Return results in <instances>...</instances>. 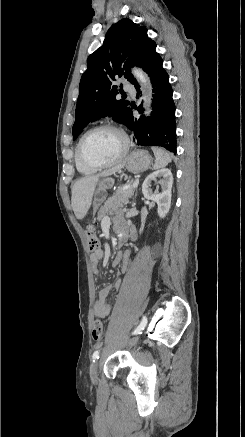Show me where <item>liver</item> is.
I'll use <instances>...</instances> for the list:
<instances>
[{"instance_id": "6515ba94", "label": "liver", "mask_w": 245, "mask_h": 437, "mask_svg": "<svg viewBox=\"0 0 245 437\" xmlns=\"http://www.w3.org/2000/svg\"><path fill=\"white\" fill-rule=\"evenodd\" d=\"M123 165H119L110 170L104 171L99 175L86 176L78 181L72 187L71 206L78 220L83 219L90 209L95 188L102 177L112 175L119 171Z\"/></svg>"}]
</instances>
